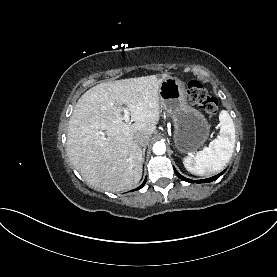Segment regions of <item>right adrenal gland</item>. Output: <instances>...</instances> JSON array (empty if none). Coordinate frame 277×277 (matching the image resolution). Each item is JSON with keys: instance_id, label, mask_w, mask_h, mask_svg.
I'll return each instance as SVG.
<instances>
[{"instance_id": "2a0ac1e0", "label": "right adrenal gland", "mask_w": 277, "mask_h": 277, "mask_svg": "<svg viewBox=\"0 0 277 277\" xmlns=\"http://www.w3.org/2000/svg\"><path fill=\"white\" fill-rule=\"evenodd\" d=\"M145 150H146V148H143V151H142V154H143V162H144V159H145Z\"/></svg>"}]
</instances>
